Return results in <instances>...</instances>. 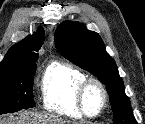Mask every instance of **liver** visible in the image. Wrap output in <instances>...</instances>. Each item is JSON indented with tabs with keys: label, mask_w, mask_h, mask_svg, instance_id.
Returning a JSON list of instances; mask_svg holds the SVG:
<instances>
[{
	"label": "liver",
	"mask_w": 145,
	"mask_h": 124,
	"mask_svg": "<svg viewBox=\"0 0 145 124\" xmlns=\"http://www.w3.org/2000/svg\"><path fill=\"white\" fill-rule=\"evenodd\" d=\"M0 124H69V122L55 115L23 112L19 117L0 118Z\"/></svg>",
	"instance_id": "liver-1"
}]
</instances>
